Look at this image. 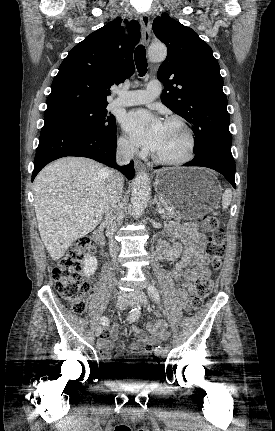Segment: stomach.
Here are the masks:
<instances>
[{
  "label": "stomach",
  "instance_id": "1",
  "mask_svg": "<svg viewBox=\"0 0 275 431\" xmlns=\"http://www.w3.org/2000/svg\"><path fill=\"white\" fill-rule=\"evenodd\" d=\"M155 189L176 213L187 220L200 218L219 203L221 186L203 168H168L155 178Z\"/></svg>",
  "mask_w": 275,
  "mask_h": 431
}]
</instances>
